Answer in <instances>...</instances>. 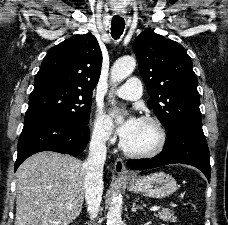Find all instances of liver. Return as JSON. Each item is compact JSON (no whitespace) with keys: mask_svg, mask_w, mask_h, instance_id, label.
Listing matches in <instances>:
<instances>
[{"mask_svg":"<svg viewBox=\"0 0 228 225\" xmlns=\"http://www.w3.org/2000/svg\"><path fill=\"white\" fill-rule=\"evenodd\" d=\"M83 161L43 151L26 159L15 175L14 225H70L82 211ZM68 205H72L69 209Z\"/></svg>","mask_w":228,"mask_h":225,"instance_id":"liver-1","label":"liver"}]
</instances>
